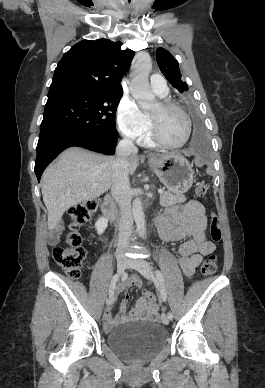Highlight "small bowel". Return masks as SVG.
I'll return each instance as SVG.
<instances>
[{"instance_id":"c3829d8e","label":"small bowel","mask_w":265,"mask_h":388,"mask_svg":"<svg viewBox=\"0 0 265 388\" xmlns=\"http://www.w3.org/2000/svg\"><path fill=\"white\" fill-rule=\"evenodd\" d=\"M159 218L164 223V227L159 231L162 239L166 242H182L177 251L179 264L183 274L186 277H191L202 262L203 257L213 253L216 248L213 242L207 240V218L203 205L199 201L191 200L183 205L168 208L164 215ZM63 229L61 223L54 224L49 233L51 243L57 241ZM142 285V280L133 276L117 288L116 293H123L124 300L115 317L112 316L111 308L104 312L105 330H110L128 321L155 320L158 317V306L148 303L144 298L139 299L136 311L130 314L126 313L129 299L127 289L130 287L140 288Z\"/></svg>"}]
</instances>
